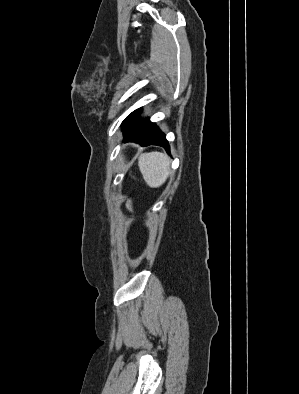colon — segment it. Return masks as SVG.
I'll return each mask as SVG.
<instances>
[{
  "mask_svg": "<svg viewBox=\"0 0 299 394\" xmlns=\"http://www.w3.org/2000/svg\"><path fill=\"white\" fill-rule=\"evenodd\" d=\"M127 207H128V209H129V211L133 212V210H134V207H133V201H132V199H131V198H130V199H128V202H127Z\"/></svg>",
  "mask_w": 299,
  "mask_h": 394,
  "instance_id": "1",
  "label": "colon"
}]
</instances>
